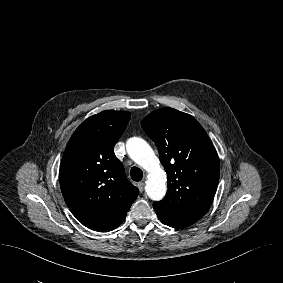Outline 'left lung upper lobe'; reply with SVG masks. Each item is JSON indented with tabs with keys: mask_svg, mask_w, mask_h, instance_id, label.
<instances>
[{
	"mask_svg": "<svg viewBox=\"0 0 283 283\" xmlns=\"http://www.w3.org/2000/svg\"><path fill=\"white\" fill-rule=\"evenodd\" d=\"M156 144L168 176L164 199L154 210L165 225L185 228L208 211L219 182L220 165L209 136L191 115L161 108L141 122Z\"/></svg>",
	"mask_w": 283,
	"mask_h": 283,
	"instance_id": "left-lung-upper-lobe-1",
	"label": "left lung upper lobe"
}]
</instances>
